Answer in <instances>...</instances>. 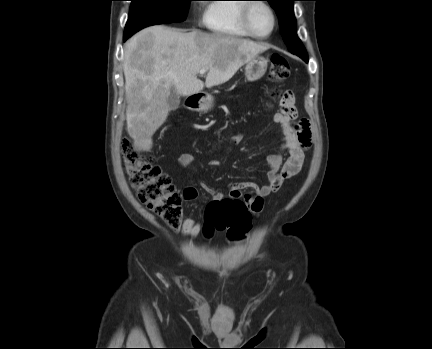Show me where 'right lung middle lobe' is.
<instances>
[{"instance_id": "dd1d6c3e", "label": "right lung middle lobe", "mask_w": 432, "mask_h": 349, "mask_svg": "<svg viewBox=\"0 0 432 349\" xmlns=\"http://www.w3.org/2000/svg\"><path fill=\"white\" fill-rule=\"evenodd\" d=\"M192 0H131L124 35L131 36L140 29L184 21Z\"/></svg>"}]
</instances>
